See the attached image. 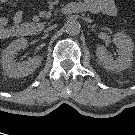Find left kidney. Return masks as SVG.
<instances>
[{"label": "left kidney", "mask_w": 135, "mask_h": 135, "mask_svg": "<svg viewBox=\"0 0 135 135\" xmlns=\"http://www.w3.org/2000/svg\"><path fill=\"white\" fill-rule=\"evenodd\" d=\"M113 43L118 46L121 56L113 60L109 57L106 47L99 45L96 49L99 62L106 70L122 71L129 68L133 57L132 51L134 50L132 39L126 34L119 32L114 35Z\"/></svg>", "instance_id": "obj_1"}]
</instances>
